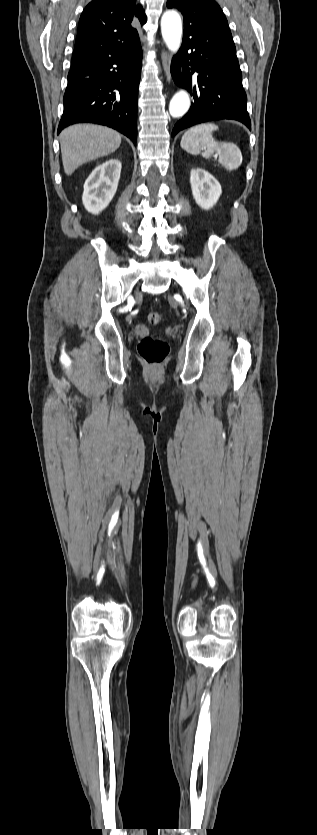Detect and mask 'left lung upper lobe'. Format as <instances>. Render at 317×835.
Listing matches in <instances>:
<instances>
[{
	"label": "left lung upper lobe",
	"instance_id": "obj_1",
	"mask_svg": "<svg viewBox=\"0 0 317 835\" xmlns=\"http://www.w3.org/2000/svg\"><path fill=\"white\" fill-rule=\"evenodd\" d=\"M168 8H178L184 17V32L210 26L231 34L227 19L214 0H167Z\"/></svg>",
	"mask_w": 317,
	"mask_h": 835
}]
</instances>
